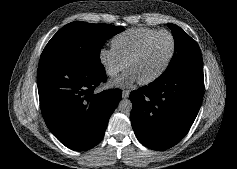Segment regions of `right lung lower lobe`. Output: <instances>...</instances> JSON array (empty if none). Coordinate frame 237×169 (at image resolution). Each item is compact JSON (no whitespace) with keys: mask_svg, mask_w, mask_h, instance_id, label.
<instances>
[{"mask_svg":"<svg viewBox=\"0 0 237 169\" xmlns=\"http://www.w3.org/2000/svg\"><path fill=\"white\" fill-rule=\"evenodd\" d=\"M106 79L103 65L39 62L37 83L43 118L69 149L87 150L102 140L121 100L120 89L94 93Z\"/></svg>","mask_w":237,"mask_h":169,"instance_id":"right-lung-lower-lobe-1","label":"right lung lower lobe"}]
</instances>
